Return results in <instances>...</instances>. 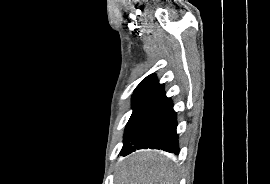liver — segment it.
Wrapping results in <instances>:
<instances>
[{
	"instance_id": "6515ba94",
	"label": "liver",
	"mask_w": 270,
	"mask_h": 184,
	"mask_svg": "<svg viewBox=\"0 0 270 184\" xmlns=\"http://www.w3.org/2000/svg\"><path fill=\"white\" fill-rule=\"evenodd\" d=\"M174 181L175 173L164 163L162 153L150 150L126 157L115 173V184H174Z\"/></svg>"
}]
</instances>
